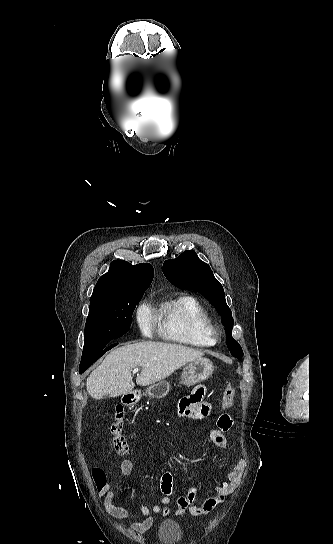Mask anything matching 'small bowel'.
Returning <instances> with one entry per match:
<instances>
[{"label": "small bowel", "mask_w": 333, "mask_h": 544, "mask_svg": "<svg viewBox=\"0 0 333 544\" xmlns=\"http://www.w3.org/2000/svg\"><path fill=\"white\" fill-rule=\"evenodd\" d=\"M206 396L207 388L205 386L196 387L190 395L179 401L178 414L189 420H200L209 416L212 411V404ZM232 424L231 417L228 414H223L218 418L217 427L210 430V439L219 448H227L228 440L225 434L231 429ZM244 467V461H240L227 474L226 478L215 487L213 495L207 497L202 502L196 503L197 489L192 487L178 496L174 507L171 506V495L173 493L172 475L169 472H165L160 480V488L163 493L160 504L152 507L142 505L140 507V515H136L124 507L115 505L113 503L115 492L108 483L99 488L98 495L103 499L105 510L109 515L118 519H133L134 521L130 524V527L138 533H145L153 525V516L155 514H162L163 516H180L187 513L192 516L209 514L239 485ZM132 471L133 462L130 459H124L120 464L121 475L129 476Z\"/></svg>", "instance_id": "obj_1"}]
</instances>
